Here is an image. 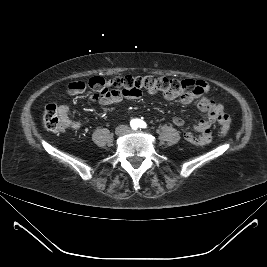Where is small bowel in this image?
Here are the masks:
<instances>
[{"instance_id":"obj_1","label":"small bowel","mask_w":267,"mask_h":267,"mask_svg":"<svg viewBox=\"0 0 267 267\" xmlns=\"http://www.w3.org/2000/svg\"><path fill=\"white\" fill-rule=\"evenodd\" d=\"M184 83L186 90L176 93H166L164 94V98L166 100L178 98L181 105H188L194 100H198V109L205 113L206 116L193 125V129L199 133L198 135L186 132L184 137L190 143L207 145L212 140L211 126L216 122L218 115L224 111V107L206 95L209 91L207 82L203 80H186ZM111 86V82L105 81L101 77H93L87 83L73 82L69 84L68 93L76 95L89 87L93 90L92 98L103 106L115 105L120 103L124 97H131L124 95L119 90L111 88ZM57 112L63 122L64 129L78 130L81 128L80 121L69 118L68 107L66 105L60 104L57 107ZM172 123L177 127H181L184 125V120L180 116H174Z\"/></svg>"}]
</instances>
